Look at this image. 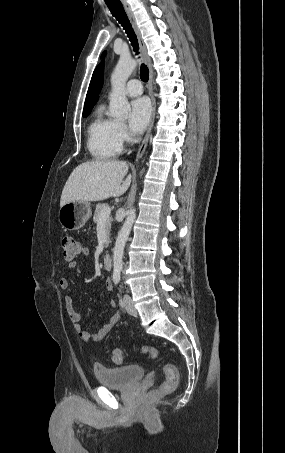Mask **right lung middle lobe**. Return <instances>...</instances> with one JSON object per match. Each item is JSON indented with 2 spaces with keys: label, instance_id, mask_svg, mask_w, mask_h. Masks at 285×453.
Instances as JSON below:
<instances>
[{
  "label": "right lung middle lobe",
  "instance_id": "obj_1",
  "mask_svg": "<svg viewBox=\"0 0 285 453\" xmlns=\"http://www.w3.org/2000/svg\"><path fill=\"white\" fill-rule=\"evenodd\" d=\"M91 111H86V112H83V117H87L89 114H90Z\"/></svg>",
  "mask_w": 285,
  "mask_h": 453
}]
</instances>
